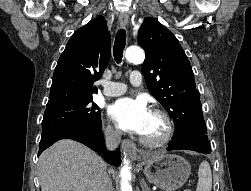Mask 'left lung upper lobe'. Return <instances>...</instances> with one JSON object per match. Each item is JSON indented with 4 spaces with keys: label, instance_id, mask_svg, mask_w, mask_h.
<instances>
[{
    "label": "left lung upper lobe",
    "instance_id": "obj_1",
    "mask_svg": "<svg viewBox=\"0 0 251 191\" xmlns=\"http://www.w3.org/2000/svg\"><path fill=\"white\" fill-rule=\"evenodd\" d=\"M138 43L146 52L141 70L147 87L173 118V137L190 131L206 133L194 73L174 34L147 17L139 28Z\"/></svg>",
    "mask_w": 251,
    "mask_h": 191
}]
</instances>
